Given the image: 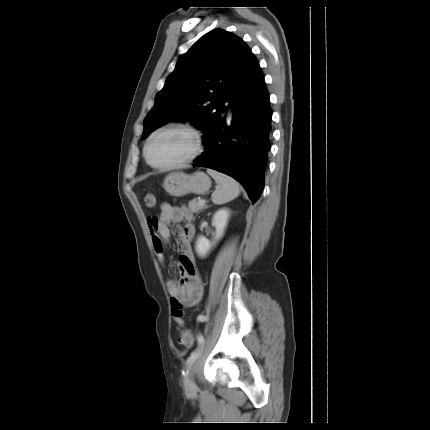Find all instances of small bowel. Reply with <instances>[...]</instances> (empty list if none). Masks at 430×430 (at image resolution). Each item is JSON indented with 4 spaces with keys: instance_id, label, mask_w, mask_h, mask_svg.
Wrapping results in <instances>:
<instances>
[{
    "instance_id": "c3829d8e",
    "label": "small bowel",
    "mask_w": 430,
    "mask_h": 430,
    "mask_svg": "<svg viewBox=\"0 0 430 430\" xmlns=\"http://www.w3.org/2000/svg\"><path fill=\"white\" fill-rule=\"evenodd\" d=\"M191 220L192 213L187 207L171 206L166 203L161 206L158 217L148 219L154 252L161 264L165 262L164 244L170 237L169 225L185 222L184 226L178 230L180 257L175 267L179 273V280L169 279L167 281V288L172 298L173 320L181 332L185 330L182 308L198 305L204 293V283L197 269L191 248V242L195 235Z\"/></svg>"
}]
</instances>
